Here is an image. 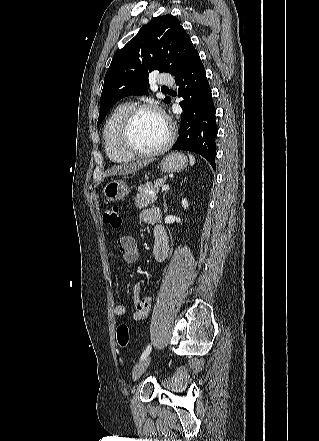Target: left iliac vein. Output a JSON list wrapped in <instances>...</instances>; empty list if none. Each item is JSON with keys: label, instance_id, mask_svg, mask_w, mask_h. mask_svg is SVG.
I'll return each mask as SVG.
<instances>
[{"label": "left iliac vein", "instance_id": "obj_1", "mask_svg": "<svg viewBox=\"0 0 319 441\" xmlns=\"http://www.w3.org/2000/svg\"><path fill=\"white\" fill-rule=\"evenodd\" d=\"M151 361V357L147 356L145 359L141 360L139 363H137L133 370H132V376L134 380H137L140 378V376L144 373V371L147 369Z\"/></svg>", "mask_w": 319, "mask_h": 441}]
</instances>
